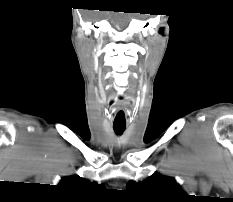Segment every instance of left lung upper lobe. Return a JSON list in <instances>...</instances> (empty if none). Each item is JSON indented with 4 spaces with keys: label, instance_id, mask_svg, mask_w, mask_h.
I'll use <instances>...</instances> for the list:
<instances>
[{
    "label": "left lung upper lobe",
    "instance_id": "obj_1",
    "mask_svg": "<svg viewBox=\"0 0 233 202\" xmlns=\"http://www.w3.org/2000/svg\"><path fill=\"white\" fill-rule=\"evenodd\" d=\"M129 192L138 194L150 202H178L186 197L174 178L154 174L143 182L127 183Z\"/></svg>",
    "mask_w": 233,
    "mask_h": 202
}]
</instances>
